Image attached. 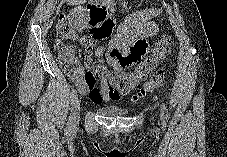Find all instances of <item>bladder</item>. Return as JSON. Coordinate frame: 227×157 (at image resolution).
<instances>
[{
    "label": "bladder",
    "mask_w": 227,
    "mask_h": 157,
    "mask_svg": "<svg viewBox=\"0 0 227 157\" xmlns=\"http://www.w3.org/2000/svg\"><path fill=\"white\" fill-rule=\"evenodd\" d=\"M99 112L104 116L116 117L127 115L129 111L118 106H105L101 107Z\"/></svg>",
    "instance_id": "bladder-1"
}]
</instances>
